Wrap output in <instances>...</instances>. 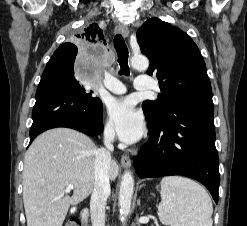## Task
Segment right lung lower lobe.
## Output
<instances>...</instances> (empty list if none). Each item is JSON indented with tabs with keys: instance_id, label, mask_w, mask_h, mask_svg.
<instances>
[{
	"instance_id": "98d812e1",
	"label": "right lung lower lobe",
	"mask_w": 247,
	"mask_h": 226,
	"mask_svg": "<svg viewBox=\"0 0 247 226\" xmlns=\"http://www.w3.org/2000/svg\"><path fill=\"white\" fill-rule=\"evenodd\" d=\"M30 143L40 133L67 127L95 136L103 131L102 102L87 93L64 58L52 56L42 74L32 111Z\"/></svg>"
}]
</instances>
